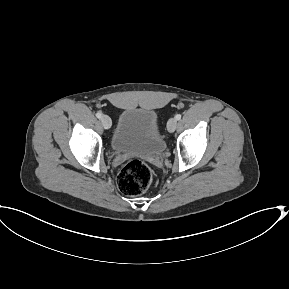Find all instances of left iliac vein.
Segmentation results:
<instances>
[{
  "label": "left iliac vein",
  "mask_w": 289,
  "mask_h": 289,
  "mask_svg": "<svg viewBox=\"0 0 289 289\" xmlns=\"http://www.w3.org/2000/svg\"><path fill=\"white\" fill-rule=\"evenodd\" d=\"M176 127H177V120L175 118L169 119V121L167 123L168 131L172 133L175 131Z\"/></svg>",
  "instance_id": "4c4485c4"
}]
</instances>
